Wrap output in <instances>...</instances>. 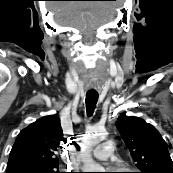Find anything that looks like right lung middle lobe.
Segmentation results:
<instances>
[{"label": "right lung middle lobe", "instance_id": "right-lung-middle-lobe-1", "mask_svg": "<svg viewBox=\"0 0 173 173\" xmlns=\"http://www.w3.org/2000/svg\"><path fill=\"white\" fill-rule=\"evenodd\" d=\"M28 173H59L55 169L41 170V171H29Z\"/></svg>", "mask_w": 173, "mask_h": 173}]
</instances>
